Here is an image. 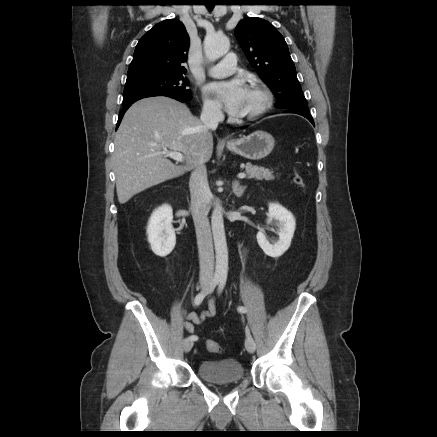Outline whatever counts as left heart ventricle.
Listing matches in <instances>:
<instances>
[{
  "instance_id": "b2bd125f",
  "label": "left heart ventricle",
  "mask_w": 437,
  "mask_h": 437,
  "mask_svg": "<svg viewBox=\"0 0 437 437\" xmlns=\"http://www.w3.org/2000/svg\"><path fill=\"white\" fill-rule=\"evenodd\" d=\"M261 101L262 97L257 91L247 89L240 113L238 115L242 116L253 112L259 107Z\"/></svg>"
}]
</instances>
